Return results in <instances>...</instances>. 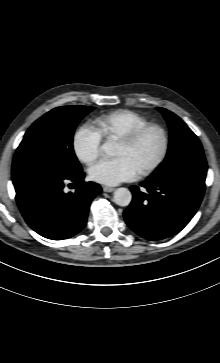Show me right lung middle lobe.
Here are the masks:
<instances>
[{
  "mask_svg": "<svg viewBox=\"0 0 220 363\" xmlns=\"http://www.w3.org/2000/svg\"><path fill=\"white\" fill-rule=\"evenodd\" d=\"M93 109L86 106L58 107L36 120L25 133L14 156L13 184L81 172L72 138L79 121Z\"/></svg>",
  "mask_w": 220,
  "mask_h": 363,
  "instance_id": "obj_1",
  "label": "right lung middle lobe"
}]
</instances>
